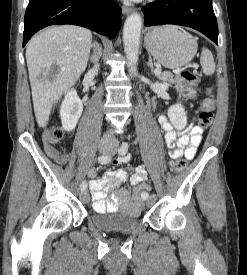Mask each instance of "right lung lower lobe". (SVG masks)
Returning <instances> with one entry per match:
<instances>
[{
    "label": "right lung lower lobe",
    "instance_id": "obj_1",
    "mask_svg": "<svg viewBox=\"0 0 247 275\" xmlns=\"http://www.w3.org/2000/svg\"><path fill=\"white\" fill-rule=\"evenodd\" d=\"M57 24L83 26L112 39L121 27V8L113 0H29L23 46L38 30Z\"/></svg>",
    "mask_w": 247,
    "mask_h": 275
}]
</instances>
